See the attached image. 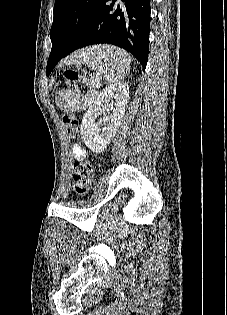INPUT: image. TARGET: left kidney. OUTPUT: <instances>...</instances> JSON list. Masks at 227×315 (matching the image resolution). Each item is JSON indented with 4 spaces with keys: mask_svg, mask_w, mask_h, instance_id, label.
Returning <instances> with one entry per match:
<instances>
[{
    "mask_svg": "<svg viewBox=\"0 0 227 315\" xmlns=\"http://www.w3.org/2000/svg\"><path fill=\"white\" fill-rule=\"evenodd\" d=\"M129 98V86L126 83L109 85L96 98L85 113L81 123V136L85 145L95 153H101L115 135L125 114ZM109 109L112 113L109 114ZM103 115L101 122L96 118ZM105 125L101 132V126Z\"/></svg>",
    "mask_w": 227,
    "mask_h": 315,
    "instance_id": "5707ae66",
    "label": "left kidney"
}]
</instances>
